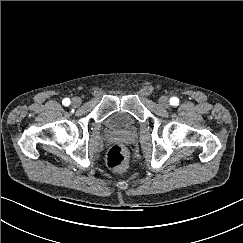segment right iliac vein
Wrapping results in <instances>:
<instances>
[{"label":"right iliac vein","instance_id":"right-iliac-vein-1","mask_svg":"<svg viewBox=\"0 0 243 243\" xmlns=\"http://www.w3.org/2000/svg\"><path fill=\"white\" fill-rule=\"evenodd\" d=\"M71 104L74 106V107H77L81 104V99L79 97H74L71 101Z\"/></svg>","mask_w":243,"mask_h":243}]
</instances>
